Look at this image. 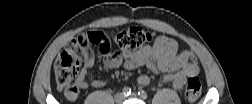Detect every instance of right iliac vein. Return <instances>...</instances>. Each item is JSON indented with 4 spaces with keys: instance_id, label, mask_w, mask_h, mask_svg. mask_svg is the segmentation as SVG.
<instances>
[{
    "instance_id": "63e3f726",
    "label": "right iliac vein",
    "mask_w": 252,
    "mask_h": 104,
    "mask_svg": "<svg viewBox=\"0 0 252 104\" xmlns=\"http://www.w3.org/2000/svg\"><path fill=\"white\" fill-rule=\"evenodd\" d=\"M114 100L117 104H120L124 100V96L121 93H118L115 95Z\"/></svg>"
}]
</instances>
